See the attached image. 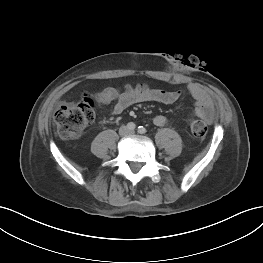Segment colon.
I'll use <instances>...</instances> for the list:
<instances>
[{
  "mask_svg": "<svg viewBox=\"0 0 263 263\" xmlns=\"http://www.w3.org/2000/svg\"><path fill=\"white\" fill-rule=\"evenodd\" d=\"M128 89H132L138 93H144L148 90L142 84L129 87ZM94 118V104L90 98L85 97L79 102L63 105L54 114L57 134L62 139L77 138ZM189 127L192 135L200 140H203L208 133L207 125L201 119L190 118Z\"/></svg>",
  "mask_w": 263,
  "mask_h": 263,
  "instance_id": "1",
  "label": "colon"
}]
</instances>
